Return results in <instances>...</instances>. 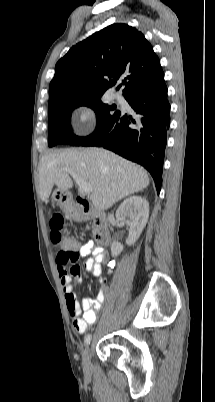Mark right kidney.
Returning a JSON list of instances; mask_svg holds the SVG:
<instances>
[{
	"label": "right kidney",
	"mask_w": 215,
	"mask_h": 402,
	"mask_svg": "<svg viewBox=\"0 0 215 402\" xmlns=\"http://www.w3.org/2000/svg\"><path fill=\"white\" fill-rule=\"evenodd\" d=\"M116 218L130 226L129 235L126 240L128 246L133 245L140 237L149 218V203L140 196H131L125 199L116 211ZM123 251V245L115 241L111 245L113 257Z\"/></svg>",
	"instance_id": "1"
}]
</instances>
